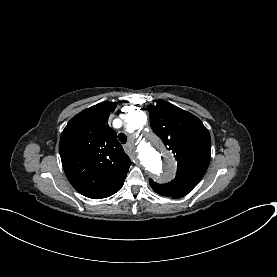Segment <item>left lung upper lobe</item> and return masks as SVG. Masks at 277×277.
Instances as JSON below:
<instances>
[{
  "label": "left lung upper lobe",
  "mask_w": 277,
  "mask_h": 277,
  "mask_svg": "<svg viewBox=\"0 0 277 277\" xmlns=\"http://www.w3.org/2000/svg\"><path fill=\"white\" fill-rule=\"evenodd\" d=\"M151 128L178 162L176 177L166 184L150 179V186L162 196L181 198L204 176L211 159V139L207 128L191 113L169 102L148 106Z\"/></svg>",
  "instance_id": "1"
}]
</instances>
